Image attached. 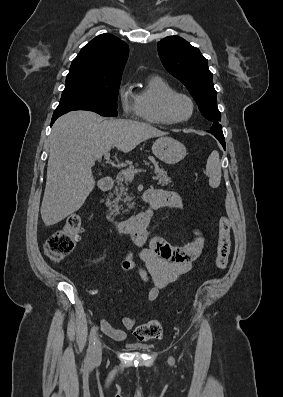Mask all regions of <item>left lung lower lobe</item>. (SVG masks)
<instances>
[{
	"label": "left lung lower lobe",
	"instance_id": "obj_1",
	"mask_svg": "<svg viewBox=\"0 0 283 397\" xmlns=\"http://www.w3.org/2000/svg\"><path fill=\"white\" fill-rule=\"evenodd\" d=\"M208 132L212 133L219 140V142L222 144L223 148L225 149L224 136L216 134V133H213L212 131H208Z\"/></svg>",
	"mask_w": 283,
	"mask_h": 397
}]
</instances>
